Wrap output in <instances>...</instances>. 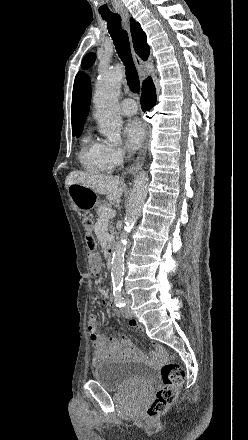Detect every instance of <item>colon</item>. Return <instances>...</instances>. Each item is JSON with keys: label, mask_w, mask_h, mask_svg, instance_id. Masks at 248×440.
Returning a JSON list of instances; mask_svg holds the SVG:
<instances>
[{"label": "colon", "mask_w": 248, "mask_h": 440, "mask_svg": "<svg viewBox=\"0 0 248 440\" xmlns=\"http://www.w3.org/2000/svg\"><path fill=\"white\" fill-rule=\"evenodd\" d=\"M83 226L88 241L90 268L95 272L100 267V260L95 253V244L91 238L93 221L90 218H84ZM161 378L162 385L157 390L155 398L146 410V414L149 418H156L169 410L175 401L179 389L183 385L185 370L177 363L168 362L161 368Z\"/></svg>", "instance_id": "colon-1"}]
</instances>
